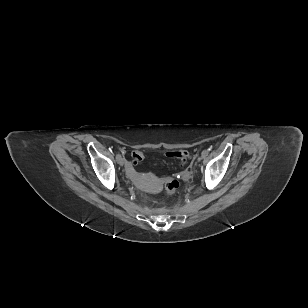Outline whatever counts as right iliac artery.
<instances>
[{"mask_svg": "<svg viewBox=\"0 0 308 308\" xmlns=\"http://www.w3.org/2000/svg\"><path fill=\"white\" fill-rule=\"evenodd\" d=\"M120 156H121L120 154H117L116 155V159L118 160Z\"/></svg>", "mask_w": 308, "mask_h": 308, "instance_id": "1", "label": "right iliac artery"}]
</instances>
